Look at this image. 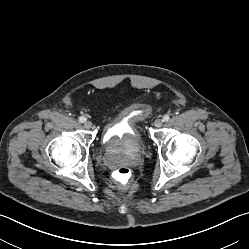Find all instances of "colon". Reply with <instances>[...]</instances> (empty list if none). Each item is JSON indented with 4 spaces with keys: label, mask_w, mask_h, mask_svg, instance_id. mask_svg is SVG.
Segmentation results:
<instances>
[{
    "label": "colon",
    "mask_w": 249,
    "mask_h": 249,
    "mask_svg": "<svg viewBox=\"0 0 249 249\" xmlns=\"http://www.w3.org/2000/svg\"><path fill=\"white\" fill-rule=\"evenodd\" d=\"M113 178L119 185L125 186L132 179V170L126 166H121L115 170Z\"/></svg>",
    "instance_id": "5ec220e1"
}]
</instances>
